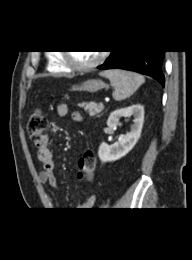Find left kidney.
Masks as SVG:
<instances>
[{
  "mask_svg": "<svg viewBox=\"0 0 192 260\" xmlns=\"http://www.w3.org/2000/svg\"><path fill=\"white\" fill-rule=\"evenodd\" d=\"M131 116H133L134 119L129 132L121 135L120 139L112 145H108L105 142L101 143L98 156L102 162L116 161L128 154L136 145L140 138L144 122L143 106L136 104L113 111L107 120V125L111 128H115L119 125V119L121 117Z\"/></svg>",
  "mask_w": 192,
  "mask_h": 260,
  "instance_id": "1",
  "label": "left kidney"
}]
</instances>
